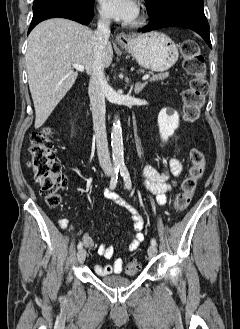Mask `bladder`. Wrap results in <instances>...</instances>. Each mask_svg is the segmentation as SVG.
Masks as SVG:
<instances>
[{
	"instance_id": "bladder-1",
	"label": "bladder",
	"mask_w": 240,
	"mask_h": 329,
	"mask_svg": "<svg viewBox=\"0 0 240 329\" xmlns=\"http://www.w3.org/2000/svg\"><path fill=\"white\" fill-rule=\"evenodd\" d=\"M132 282V278L113 275L109 277H104L102 283L110 287H124L129 285Z\"/></svg>"
}]
</instances>
